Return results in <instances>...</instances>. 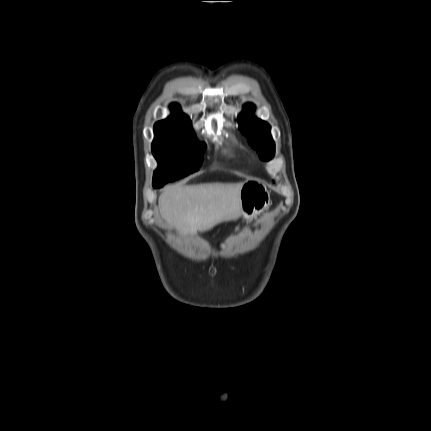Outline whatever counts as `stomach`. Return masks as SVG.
Returning a JSON list of instances; mask_svg holds the SVG:
<instances>
[{
	"label": "stomach",
	"instance_id": "stomach-1",
	"mask_svg": "<svg viewBox=\"0 0 431 431\" xmlns=\"http://www.w3.org/2000/svg\"><path fill=\"white\" fill-rule=\"evenodd\" d=\"M240 205L244 219L251 220L269 207L270 193L265 185L247 180L241 187Z\"/></svg>",
	"mask_w": 431,
	"mask_h": 431
}]
</instances>
